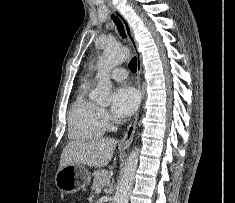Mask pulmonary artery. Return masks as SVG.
<instances>
[{
    "label": "pulmonary artery",
    "mask_w": 235,
    "mask_h": 203,
    "mask_svg": "<svg viewBox=\"0 0 235 203\" xmlns=\"http://www.w3.org/2000/svg\"><path fill=\"white\" fill-rule=\"evenodd\" d=\"M127 76L128 72L124 68H115L110 72V77L116 81H123Z\"/></svg>",
    "instance_id": "pulmonary-artery-1"
}]
</instances>
